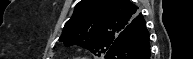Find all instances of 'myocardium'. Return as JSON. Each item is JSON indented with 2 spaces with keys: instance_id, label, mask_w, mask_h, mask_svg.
<instances>
[{
  "instance_id": "obj_1",
  "label": "myocardium",
  "mask_w": 193,
  "mask_h": 59,
  "mask_svg": "<svg viewBox=\"0 0 193 59\" xmlns=\"http://www.w3.org/2000/svg\"><path fill=\"white\" fill-rule=\"evenodd\" d=\"M75 59H88V58H75Z\"/></svg>"
}]
</instances>
